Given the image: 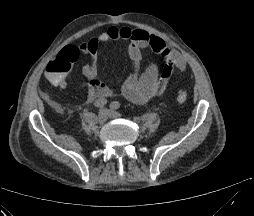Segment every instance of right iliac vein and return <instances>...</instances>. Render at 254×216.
Here are the masks:
<instances>
[{
	"label": "right iliac vein",
	"instance_id": "right-iliac-vein-1",
	"mask_svg": "<svg viewBox=\"0 0 254 216\" xmlns=\"http://www.w3.org/2000/svg\"><path fill=\"white\" fill-rule=\"evenodd\" d=\"M108 119V111L105 109H102L99 111L98 115H97V121L100 124H104Z\"/></svg>",
	"mask_w": 254,
	"mask_h": 216
}]
</instances>
